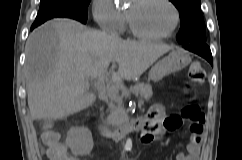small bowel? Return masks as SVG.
I'll list each match as a JSON object with an SVG mask.
<instances>
[{
    "mask_svg": "<svg viewBox=\"0 0 242 160\" xmlns=\"http://www.w3.org/2000/svg\"><path fill=\"white\" fill-rule=\"evenodd\" d=\"M147 119V122L141 132V140L143 143H152L157 139L155 133V126L158 123L163 124L161 131H176L182 125V120L177 115H172L166 118H163L162 113L157 111L152 113L150 116L144 117ZM203 142V126L202 124L199 127L191 129V135L189 141L186 145L187 153H179L176 160H199L201 144ZM66 160H76L70 154L67 155Z\"/></svg>",
    "mask_w": 242,
    "mask_h": 160,
    "instance_id": "c3829d8e",
    "label": "small bowel"
}]
</instances>
